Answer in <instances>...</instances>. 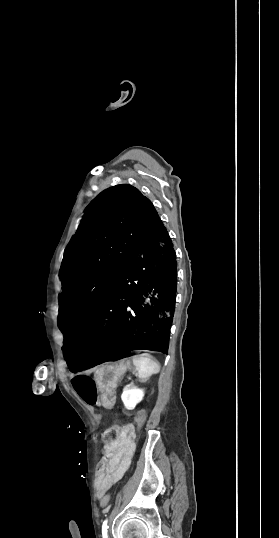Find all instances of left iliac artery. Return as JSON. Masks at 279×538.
<instances>
[{"mask_svg":"<svg viewBox=\"0 0 279 538\" xmlns=\"http://www.w3.org/2000/svg\"><path fill=\"white\" fill-rule=\"evenodd\" d=\"M108 520L105 519L102 525V536L103 538H108V526H107Z\"/></svg>","mask_w":279,"mask_h":538,"instance_id":"left-iliac-artery-1","label":"left iliac artery"}]
</instances>
